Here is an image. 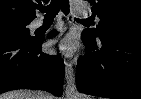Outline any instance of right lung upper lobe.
Instances as JSON below:
<instances>
[{
	"label": "right lung upper lobe",
	"mask_w": 141,
	"mask_h": 99,
	"mask_svg": "<svg viewBox=\"0 0 141 99\" xmlns=\"http://www.w3.org/2000/svg\"><path fill=\"white\" fill-rule=\"evenodd\" d=\"M36 2L41 0H0V22L32 21L36 17Z\"/></svg>",
	"instance_id": "obj_1"
}]
</instances>
